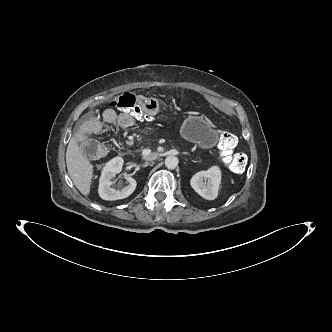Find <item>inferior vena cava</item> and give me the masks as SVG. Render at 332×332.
<instances>
[{
    "instance_id": "obj_1",
    "label": "inferior vena cava",
    "mask_w": 332,
    "mask_h": 332,
    "mask_svg": "<svg viewBox=\"0 0 332 332\" xmlns=\"http://www.w3.org/2000/svg\"><path fill=\"white\" fill-rule=\"evenodd\" d=\"M157 157H158V154L153 152V153H150L149 155H145L144 159L146 161H153V160L157 159Z\"/></svg>"
}]
</instances>
